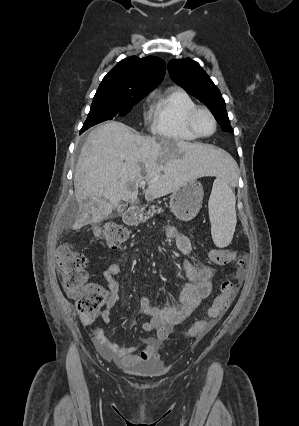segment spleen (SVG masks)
Instances as JSON below:
<instances>
[{
	"mask_svg": "<svg viewBox=\"0 0 299 426\" xmlns=\"http://www.w3.org/2000/svg\"><path fill=\"white\" fill-rule=\"evenodd\" d=\"M235 194L225 175H220L213 183L208 202L211 234L214 244L227 247L233 238L237 223Z\"/></svg>",
	"mask_w": 299,
	"mask_h": 426,
	"instance_id": "spleen-1",
	"label": "spleen"
}]
</instances>
